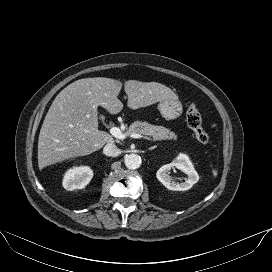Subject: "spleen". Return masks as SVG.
Masks as SVG:
<instances>
[{"mask_svg": "<svg viewBox=\"0 0 272 272\" xmlns=\"http://www.w3.org/2000/svg\"><path fill=\"white\" fill-rule=\"evenodd\" d=\"M212 174H213L214 177H216L218 175V171L216 169H213Z\"/></svg>", "mask_w": 272, "mask_h": 272, "instance_id": "spleen-1", "label": "spleen"}]
</instances>
